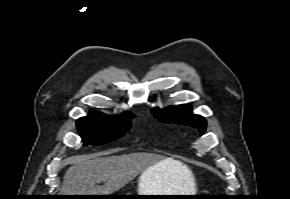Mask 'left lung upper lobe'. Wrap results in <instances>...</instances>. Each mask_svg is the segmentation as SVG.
I'll return each mask as SVG.
<instances>
[{
    "label": "left lung upper lobe",
    "mask_w": 290,
    "mask_h": 199,
    "mask_svg": "<svg viewBox=\"0 0 290 199\" xmlns=\"http://www.w3.org/2000/svg\"><path fill=\"white\" fill-rule=\"evenodd\" d=\"M153 114L161 122L172 123L192 126L197 128L202 135L206 130V121L202 116L194 115L191 111L190 105H182L176 107H168L160 110L159 108L153 109Z\"/></svg>",
    "instance_id": "1"
}]
</instances>
